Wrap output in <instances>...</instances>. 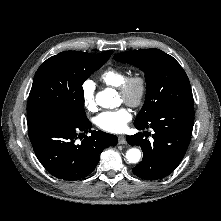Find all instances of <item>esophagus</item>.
Listing matches in <instances>:
<instances>
[{
	"label": "esophagus",
	"instance_id": "esophagus-1",
	"mask_svg": "<svg viewBox=\"0 0 221 221\" xmlns=\"http://www.w3.org/2000/svg\"><path fill=\"white\" fill-rule=\"evenodd\" d=\"M118 143L119 144H126L127 141H126L125 136H123V135L118 136Z\"/></svg>",
	"mask_w": 221,
	"mask_h": 221
}]
</instances>
